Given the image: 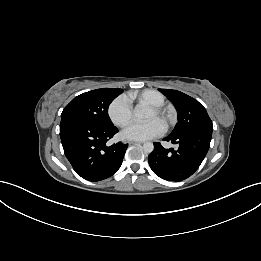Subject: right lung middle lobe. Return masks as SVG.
Here are the masks:
<instances>
[{
  "label": "right lung middle lobe",
  "mask_w": 261,
  "mask_h": 261,
  "mask_svg": "<svg viewBox=\"0 0 261 261\" xmlns=\"http://www.w3.org/2000/svg\"><path fill=\"white\" fill-rule=\"evenodd\" d=\"M118 88H101L75 97L63 110L62 119H73L101 127L112 126L108 107L119 94Z\"/></svg>",
  "instance_id": "obj_1"
}]
</instances>
